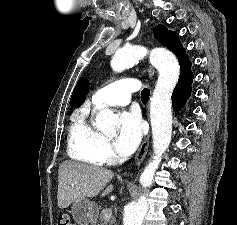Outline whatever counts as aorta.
Instances as JSON below:
<instances>
[{"instance_id": "aorta-1", "label": "aorta", "mask_w": 237, "mask_h": 225, "mask_svg": "<svg viewBox=\"0 0 237 225\" xmlns=\"http://www.w3.org/2000/svg\"><path fill=\"white\" fill-rule=\"evenodd\" d=\"M149 53L151 64L159 72L157 84L150 102V119L153 138V159L140 175V184L150 187L163 153L168 149L172 134L171 97L179 75L180 67L174 54L165 49L156 48L150 52L142 46H128L115 52L111 67L115 72L137 64ZM117 116L110 109H103L96 115L95 126L104 133H115ZM148 204L145 196H141L135 204L124 209L123 225H142L147 213Z\"/></svg>"}]
</instances>
